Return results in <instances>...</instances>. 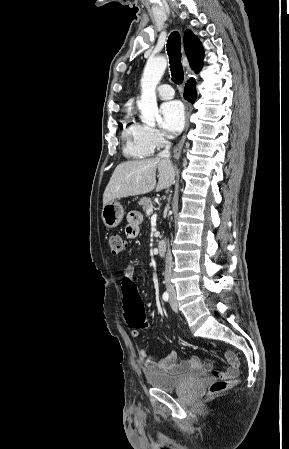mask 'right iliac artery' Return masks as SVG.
Here are the masks:
<instances>
[{"label":"right iliac artery","mask_w":289,"mask_h":449,"mask_svg":"<svg viewBox=\"0 0 289 449\" xmlns=\"http://www.w3.org/2000/svg\"><path fill=\"white\" fill-rule=\"evenodd\" d=\"M162 298H163L164 301H168L169 300L168 292H164L163 295H162Z\"/></svg>","instance_id":"obj_1"}]
</instances>
